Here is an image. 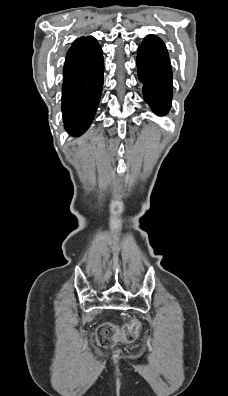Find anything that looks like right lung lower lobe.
<instances>
[{
    "instance_id": "obj_1",
    "label": "right lung lower lobe",
    "mask_w": 228,
    "mask_h": 396,
    "mask_svg": "<svg viewBox=\"0 0 228 396\" xmlns=\"http://www.w3.org/2000/svg\"><path fill=\"white\" fill-rule=\"evenodd\" d=\"M103 72L98 42L87 47L76 40L67 52L63 69L62 112L70 134L80 135L90 126L100 101Z\"/></svg>"
}]
</instances>
